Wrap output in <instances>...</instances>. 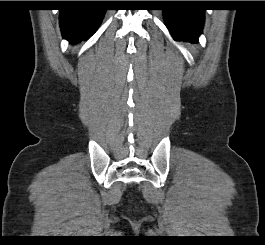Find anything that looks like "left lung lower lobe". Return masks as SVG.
Masks as SVG:
<instances>
[{
  "label": "left lung lower lobe",
  "instance_id": "obj_1",
  "mask_svg": "<svg viewBox=\"0 0 265 245\" xmlns=\"http://www.w3.org/2000/svg\"><path fill=\"white\" fill-rule=\"evenodd\" d=\"M167 28L175 40L197 42L204 24V10L175 8L163 10Z\"/></svg>",
  "mask_w": 265,
  "mask_h": 245
}]
</instances>
